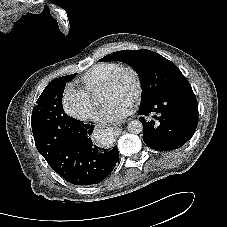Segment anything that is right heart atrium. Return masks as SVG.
I'll return each mask as SVG.
<instances>
[{
	"instance_id": "1",
	"label": "right heart atrium",
	"mask_w": 227,
	"mask_h": 227,
	"mask_svg": "<svg viewBox=\"0 0 227 227\" xmlns=\"http://www.w3.org/2000/svg\"><path fill=\"white\" fill-rule=\"evenodd\" d=\"M62 107L69 116L81 121L93 120L97 114V105L91 95L79 88L64 90Z\"/></svg>"
}]
</instances>
